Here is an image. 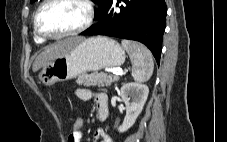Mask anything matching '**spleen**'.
Masks as SVG:
<instances>
[{"label":"spleen","instance_id":"1","mask_svg":"<svg viewBox=\"0 0 227 142\" xmlns=\"http://www.w3.org/2000/svg\"><path fill=\"white\" fill-rule=\"evenodd\" d=\"M121 44L130 57L133 79L139 83L148 81L154 70L150 50L144 45L130 40H122Z\"/></svg>","mask_w":227,"mask_h":142}]
</instances>
